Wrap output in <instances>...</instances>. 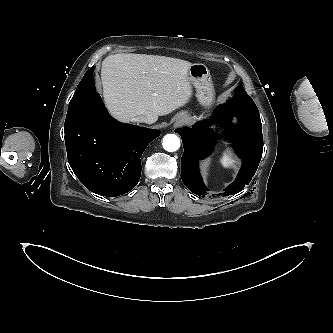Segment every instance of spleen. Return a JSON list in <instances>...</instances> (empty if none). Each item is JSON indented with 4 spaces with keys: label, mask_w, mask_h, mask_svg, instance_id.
Listing matches in <instances>:
<instances>
[{
    "label": "spleen",
    "mask_w": 333,
    "mask_h": 333,
    "mask_svg": "<svg viewBox=\"0 0 333 333\" xmlns=\"http://www.w3.org/2000/svg\"><path fill=\"white\" fill-rule=\"evenodd\" d=\"M220 163L225 168H235L236 161L233 158V153L231 148H227L224 152L222 157L220 158Z\"/></svg>",
    "instance_id": "spleen-1"
}]
</instances>
